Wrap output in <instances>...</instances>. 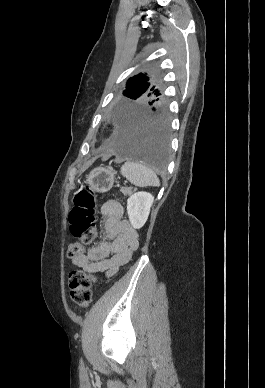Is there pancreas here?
<instances>
[{"instance_id":"obj_1","label":"pancreas","mask_w":265,"mask_h":388,"mask_svg":"<svg viewBox=\"0 0 265 388\" xmlns=\"http://www.w3.org/2000/svg\"><path fill=\"white\" fill-rule=\"evenodd\" d=\"M131 190L132 188H123V190H120V192L126 196V194H130Z\"/></svg>"}]
</instances>
